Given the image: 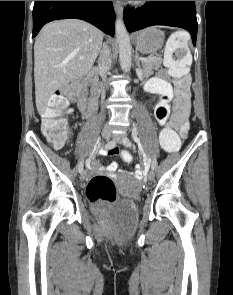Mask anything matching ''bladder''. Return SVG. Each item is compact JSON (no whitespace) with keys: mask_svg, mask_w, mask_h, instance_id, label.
Returning a JSON list of instances; mask_svg holds the SVG:
<instances>
[{"mask_svg":"<svg viewBox=\"0 0 233 295\" xmlns=\"http://www.w3.org/2000/svg\"><path fill=\"white\" fill-rule=\"evenodd\" d=\"M121 212L132 213L134 211V205L132 202H122L118 205Z\"/></svg>","mask_w":233,"mask_h":295,"instance_id":"bladder-1","label":"bladder"}]
</instances>
